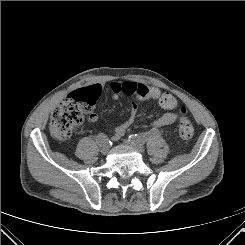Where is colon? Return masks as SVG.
Masks as SVG:
<instances>
[{
  "instance_id": "colon-1",
  "label": "colon",
  "mask_w": 245,
  "mask_h": 245,
  "mask_svg": "<svg viewBox=\"0 0 245 245\" xmlns=\"http://www.w3.org/2000/svg\"><path fill=\"white\" fill-rule=\"evenodd\" d=\"M99 94L100 87L93 85L70 93L67 98L58 103L51 115L49 125L51 136L58 141L67 140L74 129L83 122L85 114L93 107ZM138 97L140 100L150 99L148 90L140 88ZM180 112L182 116L178 124V132L181 138L187 140L193 136L194 126L187 117L184 107L180 108Z\"/></svg>"
}]
</instances>
